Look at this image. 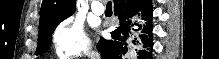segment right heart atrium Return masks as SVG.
Instances as JSON below:
<instances>
[{
  "label": "right heart atrium",
  "mask_w": 219,
  "mask_h": 59,
  "mask_svg": "<svg viewBox=\"0 0 219 59\" xmlns=\"http://www.w3.org/2000/svg\"><path fill=\"white\" fill-rule=\"evenodd\" d=\"M51 41L56 55L63 59L85 55L91 47L81 22L74 17H67L57 25Z\"/></svg>",
  "instance_id": "right-heart-atrium-1"
}]
</instances>
